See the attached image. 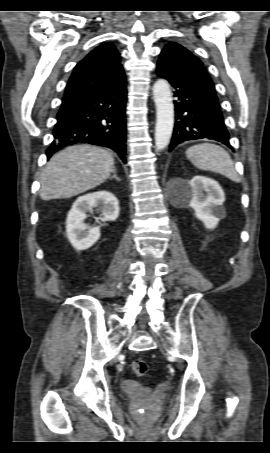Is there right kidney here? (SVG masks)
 <instances>
[{
	"label": "right kidney",
	"instance_id": "obj_1",
	"mask_svg": "<svg viewBox=\"0 0 270 453\" xmlns=\"http://www.w3.org/2000/svg\"><path fill=\"white\" fill-rule=\"evenodd\" d=\"M94 207L101 210L102 221H114L119 215V202L110 192L98 191L80 196L66 219V235L76 250H86L100 238V227L85 224L86 212Z\"/></svg>",
	"mask_w": 270,
	"mask_h": 453
}]
</instances>
